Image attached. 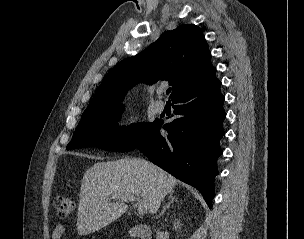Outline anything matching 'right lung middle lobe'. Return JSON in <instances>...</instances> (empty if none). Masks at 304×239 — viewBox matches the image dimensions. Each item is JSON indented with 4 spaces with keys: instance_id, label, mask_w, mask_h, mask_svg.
I'll return each instance as SVG.
<instances>
[{
    "instance_id": "obj_1",
    "label": "right lung middle lobe",
    "mask_w": 304,
    "mask_h": 239,
    "mask_svg": "<svg viewBox=\"0 0 304 239\" xmlns=\"http://www.w3.org/2000/svg\"><path fill=\"white\" fill-rule=\"evenodd\" d=\"M122 111L123 106L117 105L81 118L66 149L93 146L108 151L127 152L137 148L150 136L159 120L132 124L120 132L116 126Z\"/></svg>"
}]
</instances>
